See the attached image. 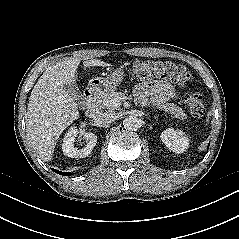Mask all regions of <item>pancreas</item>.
<instances>
[{
  "mask_svg": "<svg viewBox=\"0 0 239 239\" xmlns=\"http://www.w3.org/2000/svg\"><path fill=\"white\" fill-rule=\"evenodd\" d=\"M124 96L121 92H116L115 90L103 93L100 96V106L106 108L109 111L115 110L119 105H115L113 100L117 97L122 98ZM160 110H163L165 113L171 114L173 118L185 120L187 115L184 113L181 107L174 103H162L158 106Z\"/></svg>",
  "mask_w": 239,
  "mask_h": 239,
  "instance_id": "1",
  "label": "pancreas"
}]
</instances>
